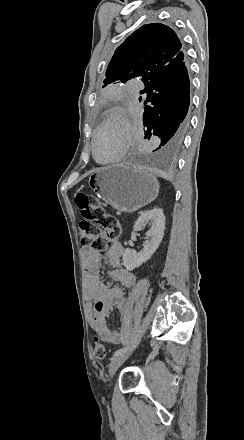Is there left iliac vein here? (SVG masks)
<instances>
[{"label": "left iliac vein", "mask_w": 244, "mask_h": 440, "mask_svg": "<svg viewBox=\"0 0 244 440\" xmlns=\"http://www.w3.org/2000/svg\"><path fill=\"white\" fill-rule=\"evenodd\" d=\"M128 353L124 352L116 357H114L109 365V375L112 377L117 369L124 363V361L127 359Z\"/></svg>", "instance_id": "1"}]
</instances>
